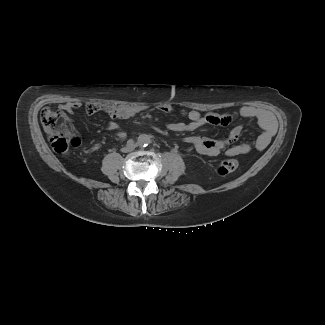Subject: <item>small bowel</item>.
I'll list each match as a JSON object with an SVG mask.
<instances>
[{"instance_id":"c3829d8e","label":"small bowel","mask_w":325,"mask_h":325,"mask_svg":"<svg viewBox=\"0 0 325 325\" xmlns=\"http://www.w3.org/2000/svg\"><path fill=\"white\" fill-rule=\"evenodd\" d=\"M81 106L80 103H61L58 105L57 110L59 113L64 114L65 121L70 122L73 120V111ZM99 110V107L95 104H88L86 111L89 114H93ZM144 110L140 106H108L105 107V112L112 119L107 123V129L111 132L116 140L124 141L126 139V133L120 128L115 120L132 118ZM157 110L163 114H170L174 112V107L171 104L163 103L157 106ZM180 114L186 117L189 121L184 122H171L165 125L166 129L175 133L191 132L199 129L205 125L215 126H229L240 117L244 119H253L260 126L262 132L252 143H239V139L242 134V125L234 126L230 132L221 138H205L201 136H188L183 139L184 142L192 145L194 149L203 154L217 155L224 153L229 156H236L248 153L252 149L257 151L264 150L270 143L275 133V121L271 113L268 111L254 107V106H242L239 108L236 114H203L197 110H180ZM77 145L79 140L77 139Z\"/></svg>"}]
</instances>
